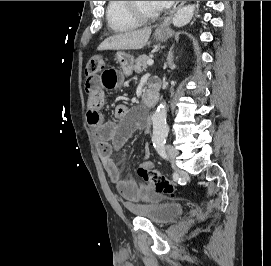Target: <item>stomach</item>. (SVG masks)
<instances>
[{"label":"stomach","instance_id":"1","mask_svg":"<svg viewBox=\"0 0 271 266\" xmlns=\"http://www.w3.org/2000/svg\"><path fill=\"white\" fill-rule=\"evenodd\" d=\"M154 37L158 41H166L167 32H158L154 33ZM116 59L121 65V69L125 74H130L134 64V57L125 52L119 51L116 53Z\"/></svg>","mask_w":271,"mask_h":266}]
</instances>
